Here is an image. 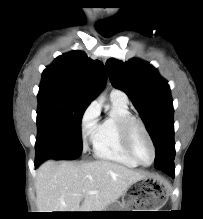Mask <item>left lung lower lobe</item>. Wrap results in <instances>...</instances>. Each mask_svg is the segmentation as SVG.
<instances>
[{
	"label": "left lung lower lobe",
	"instance_id": "1",
	"mask_svg": "<svg viewBox=\"0 0 203 219\" xmlns=\"http://www.w3.org/2000/svg\"><path fill=\"white\" fill-rule=\"evenodd\" d=\"M157 168L161 169L163 172L174 178V162L167 161L162 165H159Z\"/></svg>",
	"mask_w": 203,
	"mask_h": 219
}]
</instances>
